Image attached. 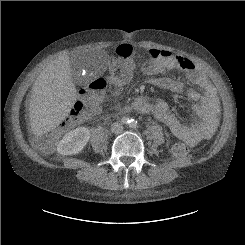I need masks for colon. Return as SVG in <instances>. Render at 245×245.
<instances>
[{
    "label": "colon",
    "mask_w": 245,
    "mask_h": 245,
    "mask_svg": "<svg viewBox=\"0 0 245 245\" xmlns=\"http://www.w3.org/2000/svg\"><path fill=\"white\" fill-rule=\"evenodd\" d=\"M144 59L140 50H134L131 46L117 56L110 65L106 76H100L87 82L80 90V99L75 103L73 113L67 117L63 124L38 138L41 146L53 144L59 136L71 130L85 119L95 116L100 110V96L108 89H117L121 84L128 81L132 75V64ZM148 67L153 65L148 63ZM84 113V114H83ZM190 148L187 144L176 142L171 144L170 152L177 158H184L189 154Z\"/></svg>",
    "instance_id": "colon-1"
}]
</instances>
